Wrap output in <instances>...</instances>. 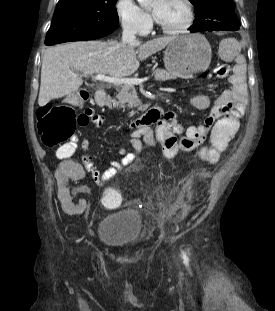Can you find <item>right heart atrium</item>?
Segmentation results:
<instances>
[{
  "instance_id": "obj_1",
  "label": "right heart atrium",
  "mask_w": 275,
  "mask_h": 311,
  "mask_svg": "<svg viewBox=\"0 0 275 311\" xmlns=\"http://www.w3.org/2000/svg\"><path fill=\"white\" fill-rule=\"evenodd\" d=\"M114 10L120 26L131 33L144 35L152 28V18L135 0H115Z\"/></svg>"
}]
</instances>
